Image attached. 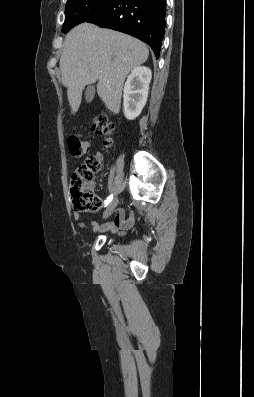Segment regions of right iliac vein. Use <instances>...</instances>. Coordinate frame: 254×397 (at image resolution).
<instances>
[{
	"label": "right iliac vein",
	"instance_id": "obj_1",
	"mask_svg": "<svg viewBox=\"0 0 254 397\" xmlns=\"http://www.w3.org/2000/svg\"><path fill=\"white\" fill-rule=\"evenodd\" d=\"M117 204H118V199L117 198L113 199L109 203L107 209L105 210L103 217L104 218H108L113 213V211L115 210Z\"/></svg>",
	"mask_w": 254,
	"mask_h": 397
}]
</instances>
